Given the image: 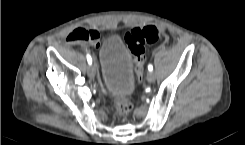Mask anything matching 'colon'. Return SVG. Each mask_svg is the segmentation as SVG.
Listing matches in <instances>:
<instances>
[{
	"instance_id": "5ec220e1",
	"label": "colon",
	"mask_w": 245,
	"mask_h": 145,
	"mask_svg": "<svg viewBox=\"0 0 245 145\" xmlns=\"http://www.w3.org/2000/svg\"><path fill=\"white\" fill-rule=\"evenodd\" d=\"M98 38L95 30L77 27L71 30L67 36L68 43L91 44ZM166 33L156 26L148 25L131 29L125 35V42L131 52L135 63V74L137 82L144 74V44L166 41ZM132 109V103L128 99H115L114 111L118 117L126 116Z\"/></svg>"
}]
</instances>
